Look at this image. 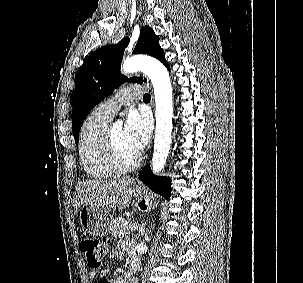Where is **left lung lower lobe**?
Masks as SVG:
<instances>
[{"label":"left lung lower lobe","instance_id":"obj_1","mask_svg":"<svg viewBox=\"0 0 303 283\" xmlns=\"http://www.w3.org/2000/svg\"><path fill=\"white\" fill-rule=\"evenodd\" d=\"M165 66L170 70V66L168 64ZM139 179L155 193L160 194L166 199L170 198L171 180L167 177H158L153 175L149 165H146L143 170L140 171Z\"/></svg>","mask_w":303,"mask_h":283}]
</instances>
